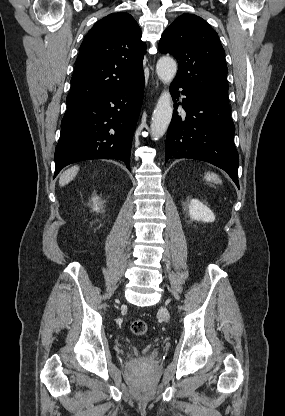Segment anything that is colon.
Instances as JSON below:
<instances>
[{
	"instance_id": "1",
	"label": "colon",
	"mask_w": 285,
	"mask_h": 416,
	"mask_svg": "<svg viewBox=\"0 0 285 416\" xmlns=\"http://www.w3.org/2000/svg\"><path fill=\"white\" fill-rule=\"evenodd\" d=\"M148 326L147 323L142 319L134 320L131 323V331L133 334L141 336L147 332Z\"/></svg>"
}]
</instances>
